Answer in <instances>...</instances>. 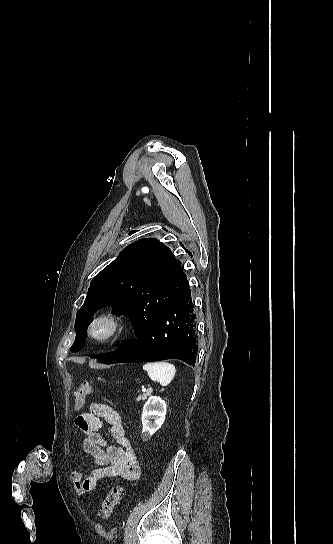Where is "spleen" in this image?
<instances>
[{"label": "spleen", "instance_id": "1", "mask_svg": "<svg viewBox=\"0 0 333 544\" xmlns=\"http://www.w3.org/2000/svg\"><path fill=\"white\" fill-rule=\"evenodd\" d=\"M143 370L153 381H158L161 386H167L173 380L176 368L173 364L165 361L148 362L143 365Z\"/></svg>", "mask_w": 333, "mask_h": 544}]
</instances>
